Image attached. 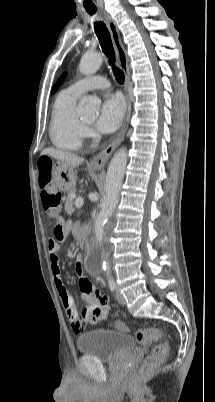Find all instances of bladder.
Returning <instances> with one entry per match:
<instances>
[{"label": "bladder", "mask_w": 215, "mask_h": 402, "mask_svg": "<svg viewBox=\"0 0 215 402\" xmlns=\"http://www.w3.org/2000/svg\"><path fill=\"white\" fill-rule=\"evenodd\" d=\"M77 347L82 354L101 362H113L130 353L135 348V340L126 333L94 329L78 336Z\"/></svg>", "instance_id": "1"}]
</instances>
